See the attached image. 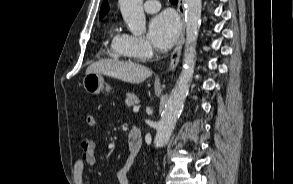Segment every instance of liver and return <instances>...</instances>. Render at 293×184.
I'll return each instance as SVG.
<instances>
[{
	"label": "liver",
	"instance_id": "6515ba94",
	"mask_svg": "<svg viewBox=\"0 0 293 184\" xmlns=\"http://www.w3.org/2000/svg\"><path fill=\"white\" fill-rule=\"evenodd\" d=\"M89 73H100L128 83L139 84L150 77L152 71L131 61L102 59L87 68L86 74Z\"/></svg>",
	"mask_w": 293,
	"mask_h": 184
}]
</instances>
